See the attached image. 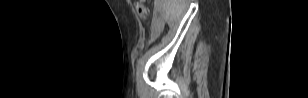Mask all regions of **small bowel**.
<instances>
[{
	"label": "small bowel",
	"mask_w": 308,
	"mask_h": 98,
	"mask_svg": "<svg viewBox=\"0 0 308 98\" xmlns=\"http://www.w3.org/2000/svg\"><path fill=\"white\" fill-rule=\"evenodd\" d=\"M159 33H160L159 29L153 28V30H152V36H151V41H154V40L157 38V36H158Z\"/></svg>",
	"instance_id": "1"
}]
</instances>
